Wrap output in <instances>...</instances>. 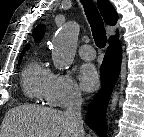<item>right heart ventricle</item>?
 Wrapping results in <instances>:
<instances>
[{"instance_id": "obj_1", "label": "right heart ventricle", "mask_w": 144, "mask_h": 137, "mask_svg": "<svg viewBox=\"0 0 144 137\" xmlns=\"http://www.w3.org/2000/svg\"><path fill=\"white\" fill-rule=\"evenodd\" d=\"M52 74L40 59L31 60L22 73L24 94L37 102L45 100Z\"/></svg>"}]
</instances>
